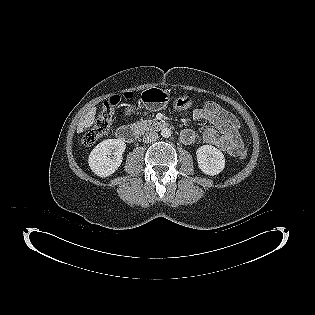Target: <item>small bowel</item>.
Segmentation results:
<instances>
[{"label": "small bowel", "instance_id": "obj_1", "mask_svg": "<svg viewBox=\"0 0 315 315\" xmlns=\"http://www.w3.org/2000/svg\"><path fill=\"white\" fill-rule=\"evenodd\" d=\"M182 111L186 112V109ZM191 114L194 120L206 121L210 125L200 136L203 143L215 146L233 156H238L243 150L239 122L234 114L220 104L207 101L201 107L194 109ZM180 137L186 145L194 144L198 138L191 129L182 130Z\"/></svg>", "mask_w": 315, "mask_h": 315}]
</instances>
